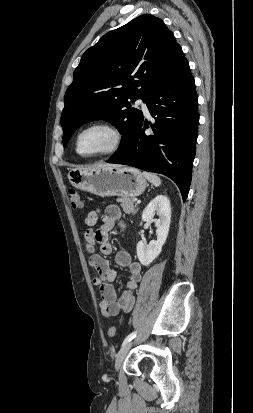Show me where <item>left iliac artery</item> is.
<instances>
[{
	"label": "left iliac artery",
	"mask_w": 253,
	"mask_h": 413,
	"mask_svg": "<svg viewBox=\"0 0 253 413\" xmlns=\"http://www.w3.org/2000/svg\"><path fill=\"white\" fill-rule=\"evenodd\" d=\"M136 337V332H132L131 334H129L125 340L123 341L122 346H124L125 344H127L128 342H130L132 339H134Z\"/></svg>",
	"instance_id": "obj_1"
}]
</instances>
